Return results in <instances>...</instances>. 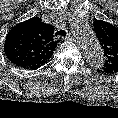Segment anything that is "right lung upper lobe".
I'll return each instance as SVG.
<instances>
[{
    "instance_id": "1",
    "label": "right lung upper lobe",
    "mask_w": 118,
    "mask_h": 118,
    "mask_svg": "<svg viewBox=\"0 0 118 118\" xmlns=\"http://www.w3.org/2000/svg\"><path fill=\"white\" fill-rule=\"evenodd\" d=\"M54 28L33 17L14 26L6 36L4 51L14 65L37 69L52 56L58 43L53 38Z\"/></svg>"
}]
</instances>
